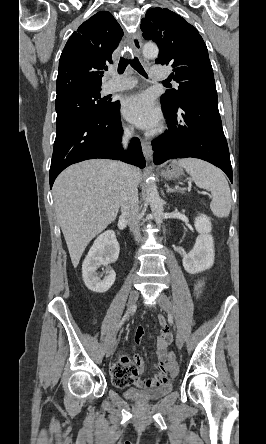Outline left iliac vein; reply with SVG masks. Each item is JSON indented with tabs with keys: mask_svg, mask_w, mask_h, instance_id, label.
I'll return each mask as SVG.
<instances>
[{
	"mask_svg": "<svg viewBox=\"0 0 266 444\" xmlns=\"http://www.w3.org/2000/svg\"><path fill=\"white\" fill-rule=\"evenodd\" d=\"M157 301H158L159 305L161 306V308L165 312L168 313V315L173 316L174 311H173L172 303L165 293L161 292L158 296ZM183 343H184L183 336L180 331H177L176 332V345H177L178 349H181L183 347Z\"/></svg>",
	"mask_w": 266,
	"mask_h": 444,
	"instance_id": "4c4485c4",
	"label": "left iliac vein"
}]
</instances>
